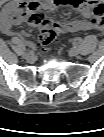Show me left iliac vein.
<instances>
[{
    "mask_svg": "<svg viewBox=\"0 0 104 137\" xmlns=\"http://www.w3.org/2000/svg\"><path fill=\"white\" fill-rule=\"evenodd\" d=\"M79 53H80V51H79V49H78L77 47H73V48H71V50H70V54H71L72 56H77Z\"/></svg>",
    "mask_w": 104,
    "mask_h": 137,
    "instance_id": "1",
    "label": "left iliac vein"
}]
</instances>
